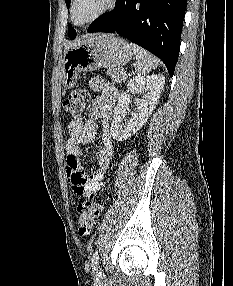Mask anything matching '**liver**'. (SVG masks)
<instances>
[{
	"label": "liver",
	"mask_w": 233,
	"mask_h": 286,
	"mask_svg": "<svg viewBox=\"0 0 233 286\" xmlns=\"http://www.w3.org/2000/svg\"><path fill=\"white\" fill-rule=\"evenodd\" d=\"M92 38H89V39H87V40H85V41H88V40H91ZM85 41H82L81 43H83V42H85ZM76 44H73L72 46H75Z\"/></svg>",
	"instance_id": "6515ba94"
}]
</instances>
